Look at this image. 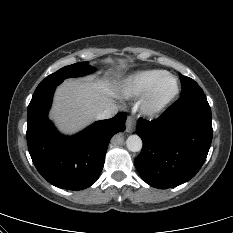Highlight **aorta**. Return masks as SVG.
I'll return each mask as SVG.
<instances>
[{
	"instance_id": "aorta-1",
	"label": "aorta",
	"mask_w": 233,
	"mask_h": 233,
	"mask_svg": "<svg viewBox=\"0 0 233 233\" xmlns=\"http://www.w3.org/2000/svg\"><path fill=\"white\" fill-rule=\"evenodd\" d=\"M126 147L131 152H139L142 149V140L138 135H130L126 140Z\"/></svg>"
}]
</instances>
